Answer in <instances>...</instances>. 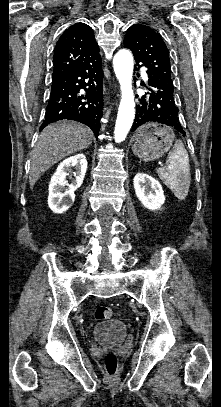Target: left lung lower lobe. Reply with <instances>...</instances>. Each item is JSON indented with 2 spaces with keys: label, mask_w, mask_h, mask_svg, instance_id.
I'll return each mask as SVG.
<instances>
[{
  "label": "left lung lower lobe",
  "mask_w": 221,
  "mask_h": 407,
  "mask_svg": "<svg viewBox=\"0 0 221 407\" xmlns=\"http://www.w3.org/2000/svg\"><path fill=\"white\" fill-rule=\"evenodd\" d=\"M148 77L151 89L149 88L150 92L143 95L136 105L132 130H136L144 123L157 122L168 125L184 135L175 104L173 83L151 74H148Z\"/></svg>",
  "instance_id": "0a47b994"
}]
</instances>
